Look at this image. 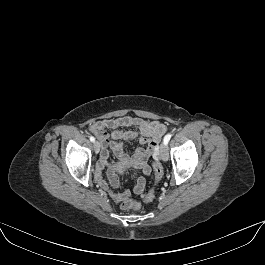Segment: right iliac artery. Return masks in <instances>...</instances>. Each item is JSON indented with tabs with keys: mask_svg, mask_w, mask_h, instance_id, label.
<instances>
[{
	"mask_svg": "<svg viewBox=\"0 0 265 265\" xmlns=\"http://www.w3.org/2000/svg\"><path fill=\"white\" fill-rule=\"evenodd\" d=\"M90 141L91 142H94L95 141V138L93 136H90Z\"/></svg>",
	"mask_w": 265,
	"mask_h": 265,
	"instance_id": "82829eb1",
	"label": "right iliac artery"
}]
</instances>
